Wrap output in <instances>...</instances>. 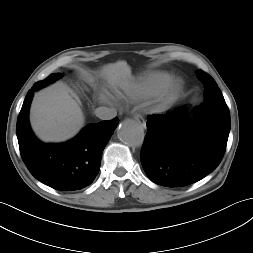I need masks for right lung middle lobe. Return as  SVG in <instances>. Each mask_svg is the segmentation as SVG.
Masks as SVG:
<instances>
[{"instance_id":"obj_1","label":"right lung middle lobe","mask_w":253,"mask_h":253,"mask_svg":"<svg viewBox=\"0 0 253 253\" xmlns=\"http://www.w3.org/2000/svg\"><path fill=\"white\" fill-rule=\"evenodd\" d=\"M61 77H62V74H59V73L51 74L45 80L35 83L32 88L40 89V88H42V87H44V86H46V85L54 82L55 80H57V79H59Z\"/></svg>"}]
</instances>
